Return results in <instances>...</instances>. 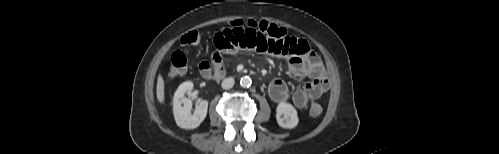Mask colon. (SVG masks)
<instances>
[{"label": "colon", "mask_w": 499, "mask_h": 154, "mask_svg": "<svg viewBox=\"0 0 499 154\" xmlns=\"http://www.w3.org/2000/svg\"><path fill=\"white\" fill-rule=\"evenodd\" d=\"M231 27L254 28L275 39H282L287 35L282 27L268 21H235L231 24ZM199 40L200 36L196 31H190L181 37L180 43L183 49L173 52L170 58L169 73L172 77L181 76L187 71V54L189 48L196 45ZM309 113L312 117H318L322 113V106L318 102H313L310 106Z\"/></svg>", "instance_id": "obj_1"}]
</instances>
